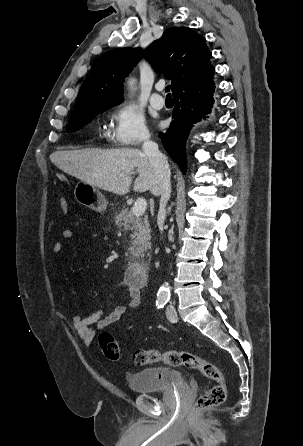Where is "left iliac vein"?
Instances as JSON below:
<instances>
[{"label": "left iliac vein", "instance_id": "obj_1", "mask_svg": "<svg viewBox=\"0 0 303 446\" xmlns=\"http://www.w3.org/2000/svg\"><path fill=\"white\" fill-rule=\"evenodd\" d=\"M166 315H167L168 320H170L171 322H177L178 316H177V312L173 306L170 305L166 308Z\"/></svg>", "mask_w": 303, "mask_h": 446}]
</instances>
